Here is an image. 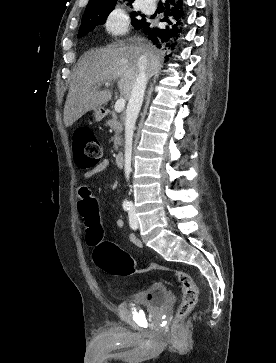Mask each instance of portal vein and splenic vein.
I'll return each instance as SVG.
<instances>
[{"label": "portal vein and splenic vein", "instance_id": "18ae733b", "mask_svg": "<svg viewBox=\"0 0 276 363\" xmlns=\"http://www.w3.org/2000/svg\"><path fill=\"white\" fill-rule=\"evenodd\" d=\"M105 86H106V87L110 86V82H106V83H105ZM125 103H126L125 99H123V98L118 99V100L116 101V103H115V106H114L115 111H116L117 113L122 112V111L124 110V108H125Z\"/></svg>", "mask_w": 276, "mask_h": 363}]
</instances>
